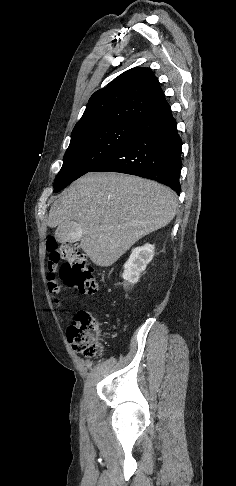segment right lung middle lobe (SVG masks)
I'll return each mask as SVG.
<instances>
[{
	"label": "right lung middle lobe",
	"mask_w": 236,
	"mask_h": 486,
	"mask_svg": "<svg viewBox=\"0 0 236 486\" xmlns=\"http://www.w3.org/2000/svg\"><path fill=\"white\" fill-rule=\"evenodd\" d=\"M137 123H120L91 129L71 137L63 166L55 182L60 191L117 151L137 132Z\"/></svg>",
	"instance_id": "1"
}]
</instances>
